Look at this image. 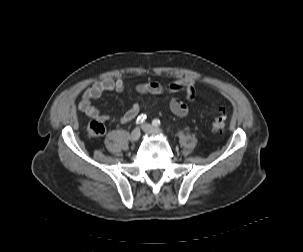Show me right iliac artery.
Masks as SVG:
<instances>
[{"mask_svg":"<svg viewBox=\"0 0 303 252\" xmlns=\"http://www.w3.org/2000/svg\"><path fill=\"white\" fill-rule=\"evenodd\" d=\"M146 119V115L141 114L140 116H138L137 120H136V125H139L141 123H143Z\"/></svg>","mask_w":303,"mask_h":252,"instance_id":"1","label":"right iliac artery"}]
</instances>
